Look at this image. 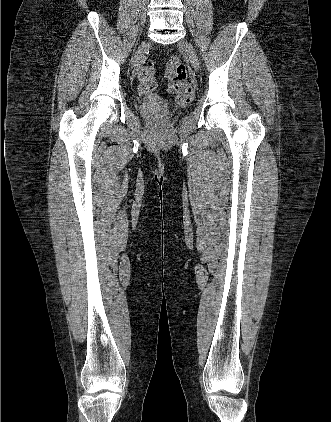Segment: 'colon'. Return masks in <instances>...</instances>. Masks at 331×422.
<instances>
[{"label": "colon", "mask_w": 331, "mask_h": 422, "mask_svg": "<svg viewBox=\"0 0 331 422\" xmlns=\"http://www.w3.org/2000/svg\"><path fill=\"white\" fill-rule=\"evenodd\" d=\"M169 78V90L177 98L179 104L186 105L192 99V87L187 81V69L184 63L176 57L169 59L166 67ZM154 66L151 62L145 63L140 74L147 80L153 79Z\"/></svg>", "instance_id": "1"}]
</instances>
